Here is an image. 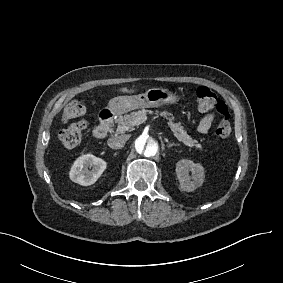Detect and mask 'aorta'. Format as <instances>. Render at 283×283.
<instances>
[{"instance_id":"1","label":"aorta","mask_w":283,"mask_h":283,"mask_svg":"<svg viewBox=\"0 0 283 283\" xmlns=\"http://www.w3.org/2000/svg\"><path fill=\"white\" fill-rule=\"evenodd\" d=\"M161 141L154 133L143 132L133 141V153L139 161L157 159L160 153Z\"/></svg>"}]
</instances>
